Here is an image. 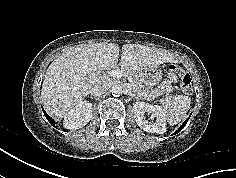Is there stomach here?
<instances>
[{
	"mask_svg": "<svg viewBox=\"0 0 236 178\" xmlns=\"http://www.w3.org/2000/svg\"><path fill=\"white\" fill-rule=\"evenodd\" d=\"M141 82L147 87L157 85L162 79V70L155 66L138 72Z\"/></svg>",
	"mask_w": 236,
	"mask_h": 178,
	"instance_id": "obj_1",
	"label": "stomach"
}]
</instances>
